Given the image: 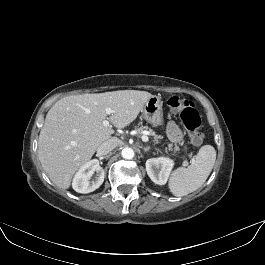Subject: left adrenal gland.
<instances>
[{
  "label": "left adrenal gland",
  "instance_id": "obj_1",
  "mask_svg": "<svg viewBox=\"0 0 265 265\" xmlns=\"http://www.w3.org/2000/svg\"><path fill=\"white\" fill-rule=\"evenodd\" d=\"M149 149H150L149 147H146V148H143V151L147 152Z\"/></svg>",
  "mask_w": 265,
  "mask_h": 265
}]
</instances>
